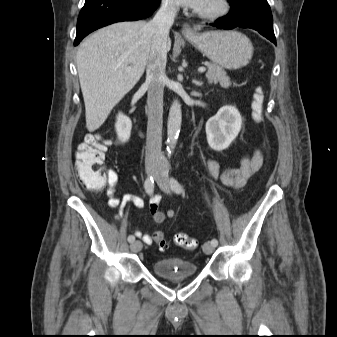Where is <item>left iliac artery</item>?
<instances>
[{
	"mask_svg": "<svg viewBox=\"0 0 337 337\" xmlns=\"http://www.w3.org/2000/svg\"><path fill=\"white\" fill-rule=\"evenodd\" d=\"M170 185H171V189L176 193H181L183 191L181 184L173 177L170 179ZM211 243L214 246L218 245L217 239H212Z\"/></svg>",
	"mask_w": 337,
	"mask_h": 337,
	"instance_id": "obj_1",
	"label": "left iliac artery"
}]
</instances>
